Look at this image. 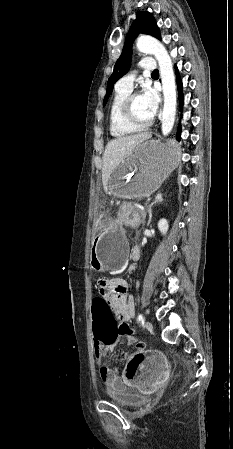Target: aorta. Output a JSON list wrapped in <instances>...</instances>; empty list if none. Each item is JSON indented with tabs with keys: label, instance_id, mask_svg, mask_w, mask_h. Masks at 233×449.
<instances>
[{
	"label": "aorta",
	"instance_id": "aorta-1",
	"mask_svg": "<svg viewBox=\"0 0 233 449\" xmlns=\"http://www.w3.org/2000/svg\"><path fill=\"white\" fill-rule=\"evenodd\" d=\"M137 49L154 55L158 60L164 95L161 130L167 136L173 128L176 115V85L171 58L164 45L149 36H141L137 40Z\"/></svg>",
	"mask_w": 233,
	"mask_h": 449
}]
</instances>
